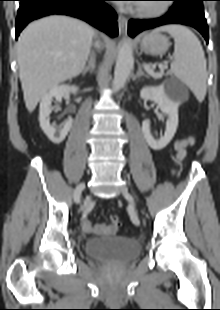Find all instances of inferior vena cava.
<instances>
[{"label":"inferior vena cava","mask_w":220,"mask_h":310,"mask_svg":"<svg viewBox=\"0 0 220 310\" xmlns=\"http://www.w3.org/2000/svg\"><path fill=\"white\" fill-rule=\"evenodd\" d=\"M95 46H96L97 48H99V47H100L99 42H96V43H95Z\"/></svg>","instance_id":"inferior-vena-cava-1"}]
</instances>
